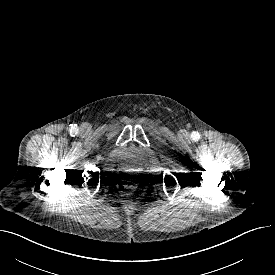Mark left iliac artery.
<instances>
[{
  "label": "left iliac artery",
  "instance_id": "obj_1",
  "mask_svg": "<svg viewBox=\"0 0 275 275\" xmlns=\"http://www.w3.org/2000/svg\"><path fill=\"white\" fill-rule=\"evenodd\" d=\"M192 137H193V139H198L199 138V133L193 132Z\"/></svg>",
  "mask_w": 275,
  "mask_h": 275
}]
</instances>
